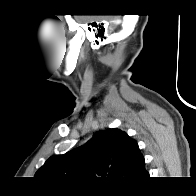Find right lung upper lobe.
<instances>
[{"label":"right lung upper lobe","instance_id":"right-lung-upper-lobe-1","mask_svg":"<svg viewBox=\"0 0 196 196\" xmlns=\"http://www.w3.org/2000/svg\"><path fill=\"white\" fill-rule=\"evenodd\" d=\"M146 175L136 141L114 128L97 132L84 146L50 157L35 177L50 185L103 179L112 184H135Z\"/></svg>","mask_w":196,"mask_h":196}]
</instances>
